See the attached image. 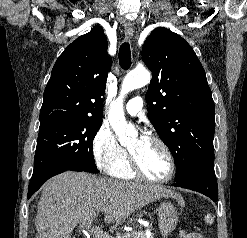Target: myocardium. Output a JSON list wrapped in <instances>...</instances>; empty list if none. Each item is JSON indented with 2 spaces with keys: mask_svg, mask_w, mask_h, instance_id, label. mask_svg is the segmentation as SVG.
<instances>
[{
  "mask_svg": "<svg viewBox=\"0 0 247 238\" xmlns=\"http://www.w3.org/2000/svg\"><path fill=\"white\" fill-rule=\"evenodd\" d=\"M147 139L158 144L165 152L166 157L168 159V163H169V169H168L167 174L160 178H152V177L147 176L141 170L135 156L132 154V152L129 151V162H130L131 169L133 173L135 174V176L143 181L150 182V183H165L169 181L175 173L176 163H175L173 152L168 146V144L164 140H162L160 137L151 135V136H148Z\"/></svg>",
  "mask_w": 247,
  "mask_h": 238,
  "instance_id": "myocardium-1",
  "label": "myocardium"
}]
</instances>
